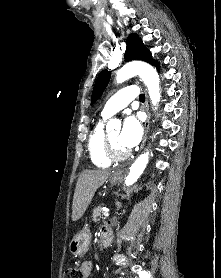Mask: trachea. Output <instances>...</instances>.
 Segmentation results:
<instances>
[{"label":"trachea","instance_id":"1","mask_svg":"<svg viewBox=\"0 0 221 278\" xmlns=\"http://www.w3.org/2000/svg\"><path fill=\"white\" fill-rule=\"evenodd\" d=\"M139 100L144 102L145 101V95L144 94H140Z\"/></svg>","mask_w":221,"mask_h":278}]
</instances>
